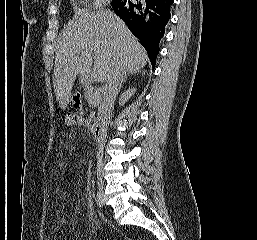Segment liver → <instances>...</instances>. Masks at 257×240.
Here are the masks:
<instances>
[{
    "mask_svg": "<svg viewBox=\"0 0 257 240\" xmlns=\"http://www.w3.org/2000/svg\"><path fill=\"white\" fill-rule=\"evenodd\" d=\"M77 20L68 24L56 47L53 84L61 108L69 103L77 75L81 82L107 80L116 63L123 73L141 70L148 56L124 22L110 10L76 11ZM94 63L93 71L91 70Z\"/></svg>",
    "mask_w": 257,
    "mask_h": 240,
    "instance_id": "1",
    "label": "liver"
}]
</instances>
